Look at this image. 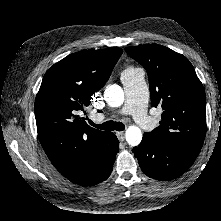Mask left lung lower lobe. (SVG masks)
I'll use <instances>...</instances> for the list:
<instances>
[{
  "instance_id": "1",
  "label": "left lung lower lobe",
  "mask_w": 221,
  "mask_h": 221,
  "mask_svg": "<svg viewBox=\"0 0 221 221\" xmlns=\"http://www.w3.org/2000/svg\"><path fill=\"white\" fill-rule=\"evenodd\" d=\"M142 171L157 180H172L186 172L196 155L164 141L143 137L138 147L133 148Z\"/></svg>"
}]
</instances>
